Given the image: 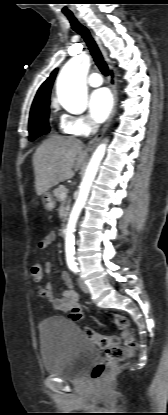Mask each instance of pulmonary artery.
Returning a JSON list of instances; mask_svg holds the SVG:
<instances>
[{
    "mask_svg": "<svg viewBox=\"0 0 168 415\" xmlns=\"http://www.w3.org/2000/svg\"><path fill=\"white\" fill-rule=\"evenodd\" d=\"M87 83L91 87H98L103 83V80H102L99 73H92V74L89 75V77L87 79Z\"/></svg>",
    "mask_w": 168,
    "mask_h": 415,
    "instance_id": "1",
    "label": "pulmonary artery"
}]
</instances>
